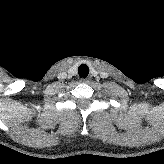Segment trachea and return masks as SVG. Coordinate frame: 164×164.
Returning a JSON list of instances; mask_svg holds the SVG:
<instances>
[{
  "instance_id": "1",
  "label": "trachea",
  "mask_w": 164,
  "mask_h": 164,
  "mask_svg": "<svg viewBox=\"0 0 164 164\" xmlns=\"http://www.w3.org/2000/svg\"><path fill=\"white\" fill-rule=\"evenodd\" d=\"M78 74L81 78H86L89 74V68L86 64H81L78 68Z\"/></svg>"
}]
</instances>
